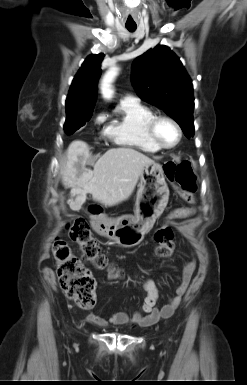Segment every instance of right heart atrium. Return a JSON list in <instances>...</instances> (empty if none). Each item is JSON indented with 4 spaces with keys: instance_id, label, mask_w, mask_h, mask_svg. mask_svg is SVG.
Instances as JSON below:
<instances>
[{
    "instance_id": "d8ad5b80",
    "label": "right heart atrium",
    "mask_w": 247,
    "mask_h": 385,
    "mask_svg": "<svg viewBox=\"0 0 247 385\" xmlns=\"http://www.w3.org/2000/svg\"><path fill=\"white\" fill-rule=\"evenodd\" d=\"M103 120H104V115H99V116L96 118V121H97L98 123L103 122Z\"/></svg>"
}]
</instances>
